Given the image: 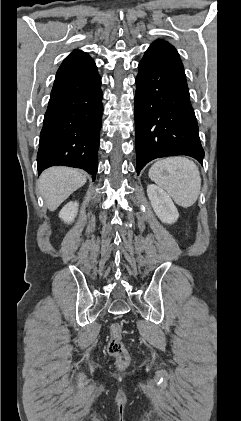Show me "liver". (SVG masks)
Returning a JSON list of instances; mask_svg holds the SVG:
<instances>
[{
    "instance_id": "6515ba94",
    "label": "liver",
    "mask_w": 241,
    "mask_h": 421,
    "mask_svg": "<svg viewBox=\"0 0 241 421\" xmlns=\"http://www.w3.org/2000/svg\"><path fill=\"white\" fill-rule=\"evenodd\" d=\"M86 180L87 175L81 170L57 166L40 175L38 189L47 208L54 211Z\"/></svg>"
}]
</instances>
